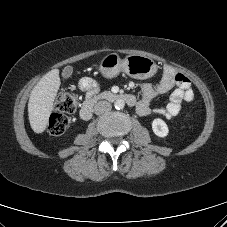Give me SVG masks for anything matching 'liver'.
Here are the masks:
<instances>
[{"label":"liver","instance_id":"6515ba94","mask_svg":"<svg viewBox=\"0 0 227 227\" xmlns=\"http://www.w3.org/2000/svg\"><path fill=\"white\" fill-rule=\"evenodd\" d=\"M60 84L59 70L53 69L46 73L31 91L28 116L35 133L45 131Z\"/></svg>","mask_w":227,"mask_h":227}]
</instances>
